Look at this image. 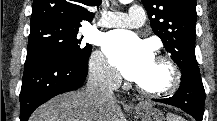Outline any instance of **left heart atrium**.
I'll use <instances>...</instances> for the list:
<instances>
[{
  "mask_svg": "<svg viewBox=\"0 0 217 121\" xmlns=\"http://www.w3.org/2000/svg\"><path fill=\"white\" fill-rule=\"evenodd\" d=\"M102 48L118 71L132 81L138 82L154 61L149 45L125 30L107 33Z\"/></svg>",
  "mask_w": 217,
  "mask_h": 121,
  "instance_id": "left-heart-atrium-1",
  "label": "left heart atrium"
}]
</instances>
